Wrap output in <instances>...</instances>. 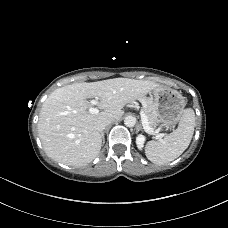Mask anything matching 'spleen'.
Returning a JSON list of instances; mask_svg holds the SVG:
<instances>
[{
    "mask_svg": "<svg viewBox=\"0 0 228 228\" xmlns=\"http://www.w3.org/2000/svg\"><path fill=\"white\" fill-rule=\"evenodd\" d=\"M195 127L193 109H185L178 128L159 141H149L145 148L146 157L153 163L164 165L178 158L189 146Z\"/></svg>",
    "mask_w": 228,
    "mask_h": 228,
    "instance_id": "1",
    "label": "spleen"
}]
</instances>
